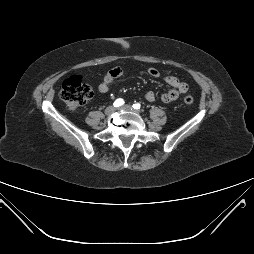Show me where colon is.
I'll return each instance as SVG.
<instances>
[{"label": "colon", "mask_w": 254, "mask_h": 254, "mask_svg": "<svg viewBox=\"0 0 254 254\" xmlns=\"http://www.w3.org/2000/svg\"><path fill=\"white\" fill-rule=\"evenodd\" d=\"M93 91L81 76H71L67 78L60 91V97L66 107L75 111L85 105L92 97ZM184 103L190 105L194 102V98L190 95L184 97Z\"/></svg>", "instance_id": "1"}]
</instances>
